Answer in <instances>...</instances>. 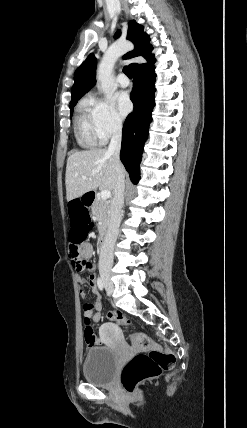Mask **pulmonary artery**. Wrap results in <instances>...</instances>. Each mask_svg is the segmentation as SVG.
I'll use <instances>...</instances> for the list:
<instances>
[{"label": "pulmonary artery", "instance_id": "e3ab8cb5", "mask_svg": "<svg viewBox=\"0 0 247 428\" xmlns=\"http://www.w3.org/2000/svg\"><path fill=\"white\" fill-rule=\"evenodd\" d=\"M117 81L121 87H127L130 83L127 76L123 73L119 74V76L117 77Z\"/></svg>", "mask_w": 247, "mask_h": 428}]
</instances>
